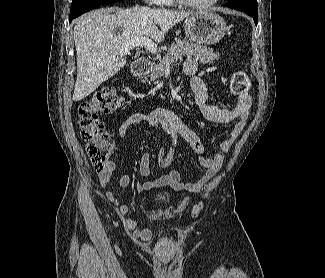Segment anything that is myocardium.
Masks as SVG:
<instances>
[{
    "instance_id": "myocardium-1",
    "label": "myocardium",
    "mask_w": 325,
    "mask_h": 278,
    "mask_svg": "<svg viewBox=\"0 0 325 278\" xmlns=\"http://www.w3.org/2000/svg\"><path fill=\"white\" fill-rule=\"evenodd\" d=\"M179 4L194 8V9H207L215 5L219 0H209L205 3H197L191 0H176Z\"/></svg>"
}]
</instances>
